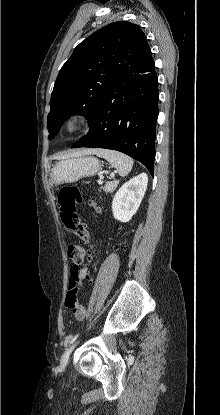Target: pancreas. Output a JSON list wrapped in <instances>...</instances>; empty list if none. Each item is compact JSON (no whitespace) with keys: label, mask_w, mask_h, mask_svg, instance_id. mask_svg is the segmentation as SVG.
<instances>
[{"label":"pancreas","mask_w":220,"mask_h":415,"mask_svg":"<svg viewBox=\"0 0 220 415\" xmlns=\"http://www.w3.org/2000/svg\"><path fill=\"white\" fill-rule=\"evenodd\" d=\"M118 186V181H111L107 182L103 188V190L107 193H112Z\"/></svg>","instance_id":"obj_1"}]
</instances>
